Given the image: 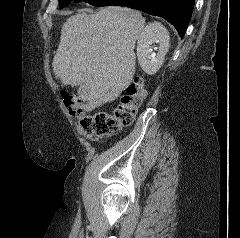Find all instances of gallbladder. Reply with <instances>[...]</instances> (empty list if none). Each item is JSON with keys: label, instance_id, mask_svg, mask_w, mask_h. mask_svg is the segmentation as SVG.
I'll return each mask as SVG.
<instances>
[{"label": "gallbladder", "instance_id": "obj_1", "mask_svg": "<svg viewBox=\"0 0 240 238\" xmlns=\"http://www.w3.org/2000/svg\"><path fill=\"white\" fill-rule=\"evenodd\" d=\"M81 91H82V86H80V88H79V91H78L79 95H80Z\"/></svg>", "mask_w": 240, "mask_h": 238}]
</instances>
